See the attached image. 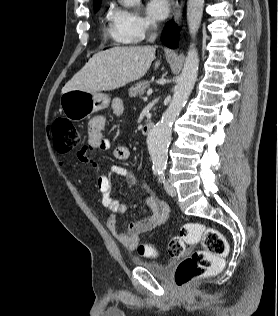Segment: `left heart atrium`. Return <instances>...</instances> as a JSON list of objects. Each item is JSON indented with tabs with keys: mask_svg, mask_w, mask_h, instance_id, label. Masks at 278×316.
Masks as SVG:
<instances>
[{
	"mask_svg": "<svg viewBox=\"0 0 278 316\" xmlns=\"http://www.w3.org/2000/svg\"><path fill=\"white\" fill-rule=\"evenodd\" d=\"M147 14L154 20L165 19L170 12L168 0H150L146 7Z\"/></svg>",
	"mask_w": 278,
	"mask_h": 316,
	"instance_id": "39dd6f15",
	"label": "left heart atrium"
}]
</instances>
